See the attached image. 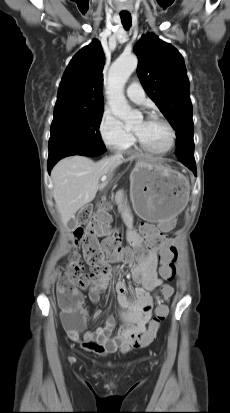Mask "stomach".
Wrapping results in <instances>:
<instances>
[{
    "label": "stomach",
    "mask_w": 230,
    "mask_h": 413,
    "mask_svg": "<svg viewBox=\"0 0 230 413\" xmlns=\"http://www.w3.org/2000/svg\"><path fill=\"white\" fill-rule=\"evenodd\" d=\"M188 179L180 172L147 158L138 161L130 174V198L136 214L151 222L177 216L187 205Z\"/></svg>",
    "instance_id": "obj_1"
}]
</instances>
